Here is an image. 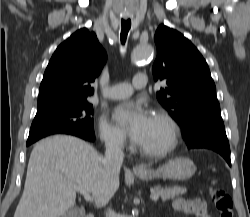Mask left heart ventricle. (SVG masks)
<instances>
[{
  "instance_id": "obj_1",
  "label": "left heart ventricle",
  "mask_w": 250,
  "mask_h": 217,
  "mask_svg": "<svg viewBox=\"0 0 250 217\" xmlns=\"http://www.w3.org/2000/svg\"><path fill=\"white\" fill-rule=\"evenodd\" d=\"M168 138L169 132L167 126L158 117L153 115L139 145L147 149H158L168 142Z\"/></svg>"
}]
</instances>
